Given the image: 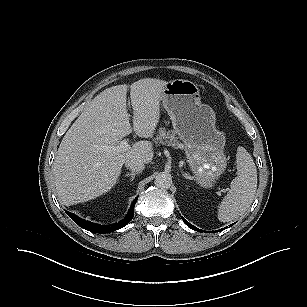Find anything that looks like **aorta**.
I'll use <instances>...</instances> for the list:
<instances>
[{"mask_svg":"<svg viewBox=\"0 0 307 307\" xmlns=\"http://www.w3.org/2000/svg\"><path fill=\"white\" fill-rule=\"evenodd\" d=\"M154 184L160 189H169L172 184V176L167 172H160L156 175Z\"/></svg>","mask_w":307,"mask_h":307,"instance_id":"762f6f07","label":"aorta"}]
</instances>
